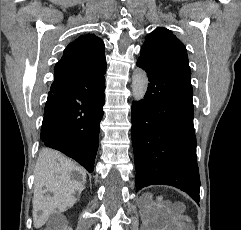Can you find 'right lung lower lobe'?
I'll return each instance as SVG.
<instances>
[{
  "instance_id": "1",
  "label": "right lung lower lobe",
  "mask_w": 241,
  "mask_h": 230,
  "mask_svg": "<svg viewBox=\"0 0 241 230\" xmlns=\"http://www.w3.org/2000/svg\"><path fill=\"white\" fill-rule=\"evenodd\" d=\"M54 74L40 138L46 146L63 152L92 172L104 114L105 72L75 71L56 64Z\"/></svg>"
}]
</instances>
